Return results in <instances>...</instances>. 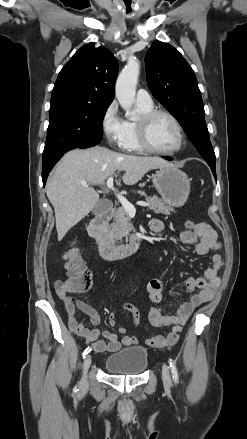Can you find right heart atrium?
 I'll use <instances>...</instances> for the list:
<instances>
[{"mask_svg": "<svg viewBox=\"0 0 247 439\" xmlns=\"http://www.w3.org/2000/svg\"><path fill=\"white\" fill-rule=\"evenodd\" d=\"M107 143L121 147L125 135V120L121 117L116 101H112L104 110L100 121Z\"/></svg>", "mask_w": 247, "mask_h": 439, "instance_id": "right-heart-atrium-1", "label": "right heart atrium"}]
</instances>
